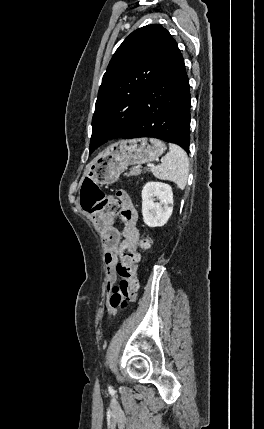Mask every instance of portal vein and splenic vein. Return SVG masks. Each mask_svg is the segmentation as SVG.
<instances>
[{
    "label": "portal vein and splenic vein",
    "mask_w": 264,
    "mask_h": 429,
    "mask_svg": "<svg viewBox=\"0 0 264 429\" xmlns=\"http://www.w3.org/2000/svg\"><path fill=\"white\" fill-rule=\"evenodd\" d=\"M155 165L153 164V163H149V164H147V167L148 168H153Z\"/></svg>",
    "instance_id": "18ae733b"
}]
</instances>
